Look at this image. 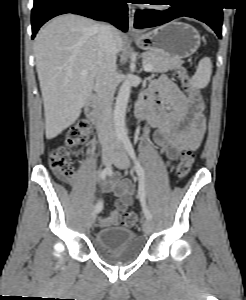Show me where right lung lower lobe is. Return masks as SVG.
Listing matches in <instances>:
<instances>
[{
	"instance_id": "1",
	"label": "right lung lower lobe",
	"mask_w": 246,
	"mask_h": 300,
	"mask_svg": "<svg viewBox=\"0 0 246 300\" xmlns=\"http://www.w3.org/2000/svg\"><path fill=\"white\" fill-rule=\"evenodd\" d=\"M64 13L108 21L124 32L128 29L125 0H34L31 14L32 39L45 22Z\"/></svg>"
}]
</instances>
